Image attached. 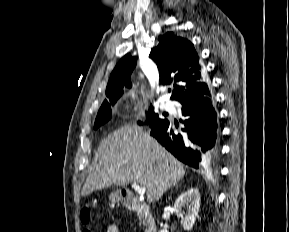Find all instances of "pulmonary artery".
<instances>
[{
  "mask_svg": "<svg viewBox=\"0 0 289 232\" xmlns=\"http://www.w3.org/2000/svg\"><path fill=\"white\" fill-rule=\"evenodd\" d=\"M162 107H163V109H165L168 112H173L175 110L173 102H171L169 100L163 102Z\"/></svg>",
  "mask_w": 289,
  "mask_h": 232,
  "instance_id": "e3ab8cb5",
  "label": "pulmonary artery"
}]
</instances>
